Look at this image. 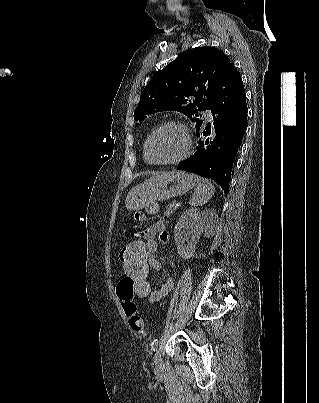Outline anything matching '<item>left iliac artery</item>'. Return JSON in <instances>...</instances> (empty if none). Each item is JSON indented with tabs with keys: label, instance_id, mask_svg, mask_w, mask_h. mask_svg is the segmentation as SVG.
Listing matches in <instances>:
<instances>
[{
	"label": "left iliac artery",
	"instance_id": "left-iliac-artery-1",
	"mask_svg": "<svg viewBox=\"0 0 319 403\" xmlns=\"http://www.w3.org/2000/svg\"><path fill=\"white\" fill-rule=\"evenodd\" d=\"M159 340L158 339H154L151 343V350L152 352H154L158 346Z\"/></svg>",
	"mask_w": 319,
	"mask_h": 403
}]
</instances>
